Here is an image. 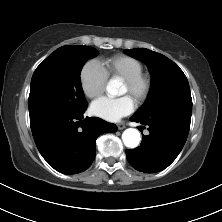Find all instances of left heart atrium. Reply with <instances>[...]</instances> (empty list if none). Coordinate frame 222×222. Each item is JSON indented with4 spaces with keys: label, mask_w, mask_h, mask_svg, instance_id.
<instances>
[{
    "label": "left heart atrium",
    "mask_w": 222,
    "mask_h": 222,
    "mask_svg": "<svg viewBox=\"0 0 222 222\" xmlns=\"http://www.w3.org/2000/svg\"><path fill=\"white\" fill-rule=\"evenodd\" d=\"M135 103L130 96L100 97L90 106V112L107 121H117L133 112Z\"/></svg>",
    "instance_id": "1"
}]
</instances>
